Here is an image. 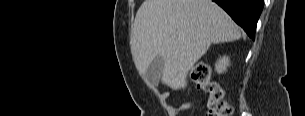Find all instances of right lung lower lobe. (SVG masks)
Returning <instances> with one entry per match:
<instances>
[{
  "mask_svg": "<svg viewBox=\"0 0 305 116\" xmlns=\"http://www.w3.org/2000/svg\"><path fill=\"white\" fill-rule=\"evenodd\" d=\"M240 25L250 38L255 39L258 18L263 9V0H213Z\"/></svg>",
  "mask_w": 305,
  "mask_h": 116,
  "instance_id": "right-lung-lower-lobe-1",
  "label": "right lung lower lobe"
}]
</instances>
